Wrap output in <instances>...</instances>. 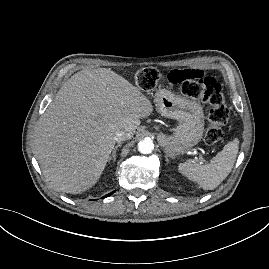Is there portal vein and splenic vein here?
<instances>
[{"mask_svg": "<svg viewBox=\"0 0 269 269\" xmlns=\"http://www.w3.org/2000/svg\"><path fill=\"white\" fill-rule=\"evenodd\" d=\"M196 160L199 161L200 164H203L205 162L202 156H200L199 158H196Z\"/></svg>", "mask_w": 269, "mask_h": 269, "instance_id": "portal-vein-and-splenic-vein-1", "label": "portal vein and splenic vein"}]
</instances>
